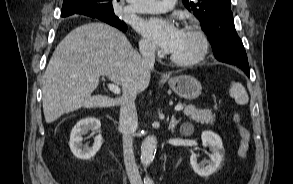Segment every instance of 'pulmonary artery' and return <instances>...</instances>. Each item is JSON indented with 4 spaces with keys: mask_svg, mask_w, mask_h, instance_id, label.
Here are the masks:
<instances>
[{
    "mask_svg": "<svg viewBox=\"0 0 293 184\" xmlns=\"http://www.w3.org/2000/svg\"><path fill=\"white\" fill-rule=\"evenodd\" d=\"M176 2L177 0H131L124 10L133 13H162L172 9Z\"/></svg>",
    "mask_w": 293,
    "mask_h": 184,
    "instance_id": "1",
    "label": "pulmonary artery"
}]
</instances>
